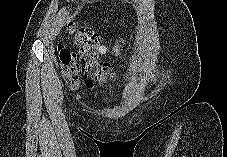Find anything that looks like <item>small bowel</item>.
Segmentation results:
<instances>
[{
	"instance_id": "obj_1",
	"label": "small bowel",
	"mask_w": 227,
	"mask_h": 157,
	"mask_svg": "<svg viewBox=\"0 0 227 157\" xmlns=\"http://www.w3.org/2000/svg\"><path fill=\"white\" fill-rule=\"evenodd\" d=\"M120 47H121V45L118 44V45L115 46V49H119ZM107 51H108V48L104 45H100L98 47V53H100V54H105V53H107ZM89 86H92L91 82H89Z\"/></svg>"
}]
</instances>
